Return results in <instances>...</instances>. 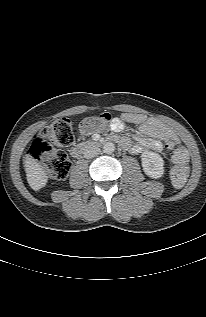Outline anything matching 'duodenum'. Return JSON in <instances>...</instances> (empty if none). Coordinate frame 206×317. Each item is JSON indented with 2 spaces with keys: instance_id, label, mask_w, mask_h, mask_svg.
<instances>
[{
  "instance_id": "1",
  "label": "duodenum",
  "mask_w": 206,
  "mask_h": 317,
  "mask_svg": "<svg viewBox=\"0 0 206 317\" xmlns=\"http://www.w3.org/2000/svg\"><path fill=\"white\" fill-rule=\"evenodd\" d=\"M107 142H116V143H121L123 142V140L120 137H116V136H110L108 138H101L99 139H94L88 142H84L81 144H78L76 146H74L71 149V155L74 158H79L81 157L86 151L96 147L98 144L101 145H106Z\"/></svg>"
}]
</instances>
